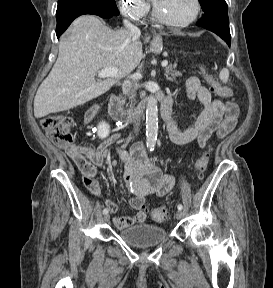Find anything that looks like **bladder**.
<instances>
[{
    "mask_svg": "<svg viewBox=\"0 0 273 288\" xmlns=\"http://www.w3.org/2000/svg\"><path fill=\"white\" fill-rule=\"evenodd\" d=\"M121 241L133 247H149L162 243L168 236L162 227L150 224H138L121 230Z\"/></svg>",
    "mask_w": 273,
    "mask_h": 288,
    "instance_id": "1",
    "label": "bladder"
}]
</instances>
